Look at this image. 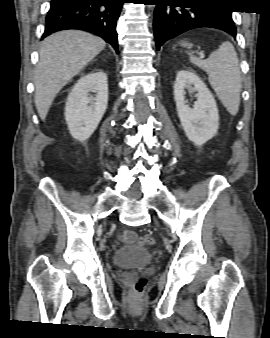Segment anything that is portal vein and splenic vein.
<instances>
[{
	"label": "portal vein and splenic vein",
	"instance_id": "18ae733b",
	"mask_svg": "<svg viewBox=\"0 0 270 338\" xmlns=\"http://www.w3.org/2000/svg\"><path fill=\"white\" fill-rule=\"evenodd\" d=\"M200 58H201V59H204V58H205V55H204V54H200Z\"/></svg>",
	"mask_w": 270,
	"mask_h": 338
}]
</instances>
